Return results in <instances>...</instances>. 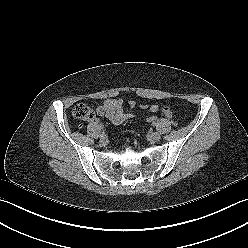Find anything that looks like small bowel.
Wrapping results in <instances>:
<instances>
[{"mask_svg": "<svg viewBox=\"0 0 248 248\" xmlns=\"http://www.w3.org/2000/svg\"><path fill=\"white\" fill-rule=\"evenodd\" d=\"M135 107L134 102H130L129 108L126 109L122 100L108 99L102 105L96 107V113L99 116H105L113 124L120 125L135 116ZM140 108L152 113L160 112L166 118H171L173 114L172 109L168 105L145 104L140 106Z\"/></svg>", "mask_w": 248, "mask_h": 248, "instance_id": "obj_1", "label": "small bowel"}]
</instances>
